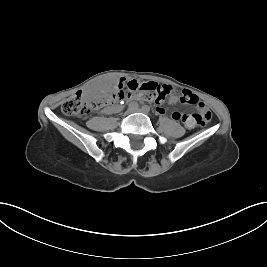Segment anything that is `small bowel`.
I'll return each mask as SVG.
<instances>
[{"instance_id":"small-bowel-1","label":"small bowel","mask_w":267,"mask_h":267,"mask_svg":"<svg viewBox=\"0 0 267 267\" xmlns=\"http://www.w3.org/2000/svg\"><path fill=\"white\" fill-rule=\"evenodd\" d=\"M169 102L172 103V104L177 103V102H178V96H177L176 94H172V95L170 96ZM198 107H199V108H200V107H205V108H207V107L204 105V103H202V102H198ZM118 110H120V107H119V106H115V107H112V108H110V109H107V112L118 111ZM157 110H158V112H160V113H164V112H165L164 109L161 108V107L157 108ZM190 115H191V114L183 115V114H181V113H179V112H173V113H172V119H173V120H176V121H178V120H182L187 128L192 129V128L195 127V124L192 123V122L190 121Z\"/></svg>"}]
</instances>
